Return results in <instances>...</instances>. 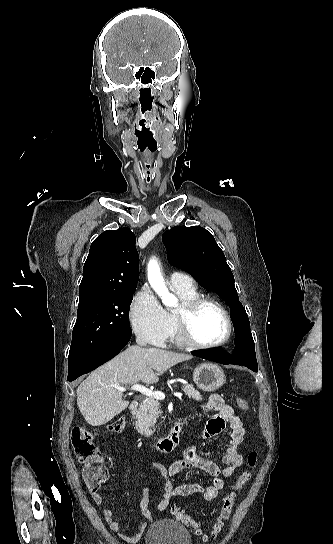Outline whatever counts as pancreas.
<instances>
[{"mask_svg":"<svg viewBox=\"0 0 333 544\" xmlns=\"http://www.w3.org/2000/svg\"><path fill=\"white\" fill-rule=\"evenodd\" d=\"M183 391L195 401L202 400L199 391L195 390L192 385L183 386ZM159 403L154 397H146L140 404L136 414L135 427L136 430L146 437L151 436L155 429L154 425L158 417Z\"/></svg>","mask_w":333,"mask_h":544,"instance_id":"pancreas-1","label":"pancreas"}]
</instances>
